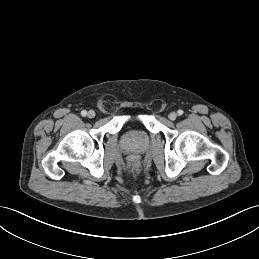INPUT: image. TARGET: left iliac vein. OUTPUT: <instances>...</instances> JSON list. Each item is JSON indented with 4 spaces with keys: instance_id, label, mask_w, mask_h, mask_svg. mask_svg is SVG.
Here are the masks:
<instances>
[{
    "instance_id": "obj_1",
    "label": "left iliac vein",
    "mask_w": 259,
    "mask_h": 259,
    "mask_svg": "<svg viewBox=\"0 0 259 259\" xmlns=\"http://www.w3.org/2000/svg\"><path fill=\"white\" fill-rule=\"evenodd\" d=\"M176 118H177V114H176L175 112H171V113L169 114V119H170V120L174 121Z\"/></svg>"
}]
</instances>
